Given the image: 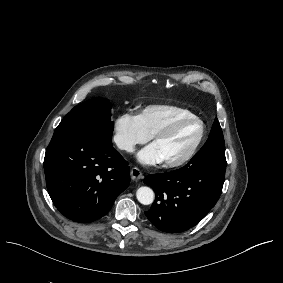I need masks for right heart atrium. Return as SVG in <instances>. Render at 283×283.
Returning a JSON list of instances; mask_svg holds the SVG:
<instances>
[{"label": "right heart atrium", "mask_w": 283, "mask_h": 283, "mask_svg": "<svg viewBox=\"0 0 283 283\" xmlns=\"http://www.w3.org/2000/svg\"><path fill=\"white\" fill-rule=\"evenodd\" d=\"M111 139L121 151L133 152L136 145L146 142L151 134L144 126L141 116L132 112L117 114L112 120Z\"/></svg>", "instance_id": "1"}]
</instances>
